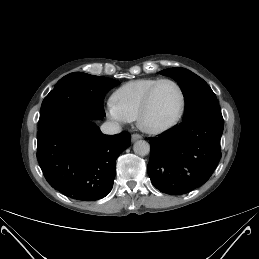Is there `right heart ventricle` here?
I'll use <instances>...</instances> for the list:
<instances>
[{
	"instance_id": "1",
	"label": "right heart ventricle",
	"mask_w": 259,
	"mask_h": 259,
	"mask_svg": "<svg viewBox=\"0 0 259 259\" xmlns=\"http://www.w3.org/2000/svg\"><path fill=\"white\" fill-rule=\"evenodd\" d=\"M159 78H142L125 83L113 94V102L127 121L137 119L147 91Z\"/></svg>"
}]
</instances>
